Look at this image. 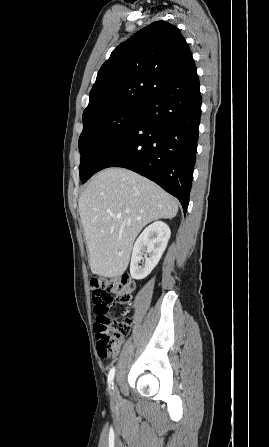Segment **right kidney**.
Returning a JSON list of instances; mask_svg holds the SVG:
<instances>
[{
    "label": "right kidney",
    "instance_id": "right-kidney-1",
    "mask_svg": "<svg viewBox=\"0 0 269 447\" xmlns=\"http://www.w3.org/2000/svg\"><path fill=\"white\" fill-rule=\"evenodd\" d=\"M170 235V227L164 222H154L143 229L133 247L130 261L131 277L144 279L152 271L165 251ZM144 251H147L149 257L147 255L142 257ZM141 259H143L142 265H138Z\"/></svg>",
    "mask_w": 269,
    "mask_h": 447
}]
</instances>
